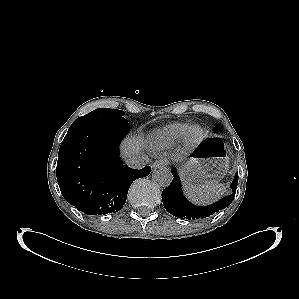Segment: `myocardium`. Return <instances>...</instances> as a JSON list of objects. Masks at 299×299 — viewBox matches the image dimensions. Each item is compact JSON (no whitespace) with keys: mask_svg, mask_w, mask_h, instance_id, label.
I'll return each instance as SVG.
<instances>
[{"mask_svg":"<svg viewBox=\"0 0 299 299\" xmlns=\"http://www.w3.org/2000/svg\"><path fill=\"white\" fill-rule=\"evenodd\" d=\"M203 135L204 132L201 126L197 124L190 126L185 135V142L187 147H196L202 141Z\"/></svg>","mask_w":299,"mask_h":299,"instance_id":"1","label":"myocardium"}]
</instances>
